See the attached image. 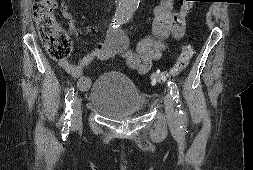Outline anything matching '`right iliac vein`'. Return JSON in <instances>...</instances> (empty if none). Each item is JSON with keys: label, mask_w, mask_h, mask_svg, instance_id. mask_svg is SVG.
I'll return each instance as SVG.
<instances>
[{"label": "right iliac vein", "mask_w": 253, "mask_h": 170, "mask_svg": "<svg viewBox=\"0 0 253 170\" xmlns=\"http://www.w3.org/2000/svg\"><path fill=\"white\" fill-rule=\"evenodd\" d=\"M72 110H73L71 118L72 126H78L80 125L82 120V106L81 100L77 96L73 98Z\"/></svg>", "instance_id": "1"}]
</instances>
